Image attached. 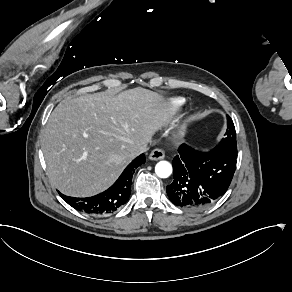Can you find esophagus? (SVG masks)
Instances as JSON below:
<instances>
[{
  "label": "esophagus",
  "mask_w": 292,
  "mask_h": 292,
  "mask_svg": "<svg viewBox=\"0 0 292 292\" xmlns=\"http://www.w3.org/2000/svg\"><path fill=\"white\" fill-rule=\"evenodd\" d=\"M164 157H165V153L161 149H154L149 154V159L152 161H157V160L163 159Z\"/></svg>",
  "instance_id": "34e87169"
}]
</instances>
